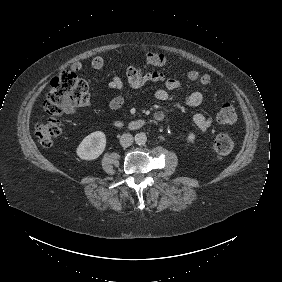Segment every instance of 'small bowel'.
<instances>
[{"label":"small bowel","instance_id":"c3829d8e","mask_svg":"<svg viewBox=\"0 0 282 282\" xmlns=\"http://www.w3.org/2000/svg\"><path fill=\"white\" fill-rule=\"evenodd\" d=\"M105 61L101 56H95L91 60V67L99 70L104 67ZM83 68V64L79 61L73 63L72 70L80 71ZM127 82L128 87L124 85L122 77L115 76L108 84L110 90L114 91V96L110 99L108 106L111 110L121 109L126 101L131 96L133 90H136L147 83H161L163 87L158 88L154 97L161 103H173L182 102L183 104L196 107L203 101V95L199 91H193L184 96L173 93L172 91H179L181 84L179 81L173 78L166 77L160 72H148L142 73L136 66H130L127 70ZM68 113H73V109H67ZM158 114V113H157ZM158 116L155 115V118ZM193 122L199 131L205 133L209 130L212 124V118L209 115L203 113H196L193 116Z\"/></svg>","mask_w":282,"mask_h":282}]
</instances>
